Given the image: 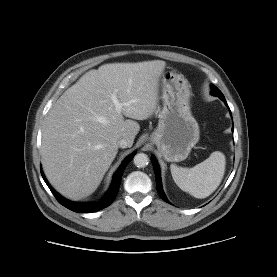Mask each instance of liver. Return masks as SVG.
Here are the masks:
<instances>
[{
	"mask_svg": "<svg viewBox=\"0 0 277 277\" xmlns=\"http://www.w3.org/2000/svg\"><path fill=\"white\" fill-rule=\"evenodd\" d=\"M162 60L110 63L86 72L48 112L42 166L63 196L79 200L100 185L125 138L131 147L140 125L157 109ZM123 105L117 110L111 95ZM124 116L131 118L124 120Z\"/></svg>",
	"mask_w": 277,
	"mask_h": 277,
	"instance_id": "obj_1",
	"label": "liver"
}]
</instances>
